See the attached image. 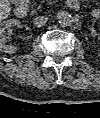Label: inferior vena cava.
<instances>
[{
	"instance_id": "inferior-vena-cava-1",
	"label": "inferior vena cava",
	"mask_w": 100,
	"mask_h": 118,
	"mask_svg": "<svg viewBox=\"0 0 100 118\" xmlns=\"http://www.w3.org/2000/svg\"><path fill=\"white\" fill-rule=\"evenodd\" d=\"M47 20H48V18L46 16H37L34 19V25L37 27H41V26L45 25Z\"/></svg>"
}]
</instances>
